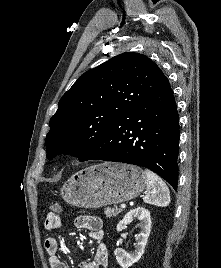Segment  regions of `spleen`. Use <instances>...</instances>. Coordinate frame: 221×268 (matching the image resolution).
I'll list each match as a JSON object with an SVG mask.
<instances>
[{
  "mask_svg": "<svg viewBox=\"0 0 221 268\" xmlns=\"http://www.w3.org/2000/svg\"><path fill=\"white\" fill-rule=\"evenodd\" d=\"M144 173L147 178V192L143 201L160 207L167 206L170 203V192L164 181L149 169Z\"/></svg>",
  "mask_w": 221,
  "mask_h": 268,
  "instance_id": "spleen-1",
  "label": "spleen"
}]
</instances>
